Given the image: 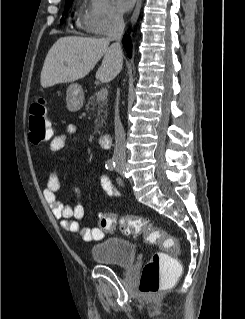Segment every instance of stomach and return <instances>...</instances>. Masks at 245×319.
Returning <instances> with one entry per match:
<instances>
[{
    "label": "stomach",
    "instance_id": "1",
    "mask_svg": "<svg viewBox=\"0 0 245 319\" xmlns=\"http://www.w3.org/2000/svg\"><path fill=\"white\" fill-rule=\"evenodd\" d=\"M66 93L67 109L70 112L79 111L82 108L84 102V94L81 86L77 83H73L69 85Z\"/></svg>",
    "mask_w": 245,
    "mask_h": 319
}]
</instances>
